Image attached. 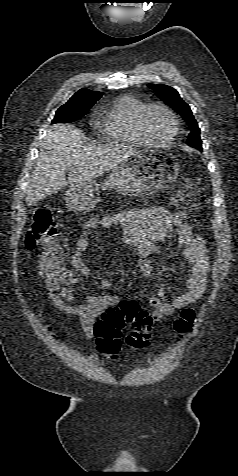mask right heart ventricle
<instances>
[{
	"mask_svg": "<svg viewBox=\"0 0 238 476\" xmlns=\"http://www.w3.org/2000/svg\"><path fill=\"white\" fill-rule=\"evenodd\" d=\"M145 103L131 95H120L109 105L103 118L106 139L115 144L143 146L148 142L141 135L137 117Z\"/></svg>",
	"mask_w": 238,
	"mask_h": 476,
	"instance_id": "right-heart-ventricle-1",
	"label": "right heart ventricle"
}]
</instances>
